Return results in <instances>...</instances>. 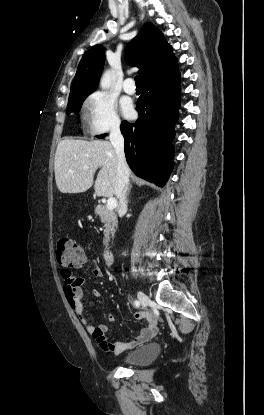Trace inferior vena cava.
<instances>
[{"label": "inferior vena cava", "mask_w": 264, "mask_h": 415, "mask_svg": "<svg viewBox=\"0 0 264 415\" xmlns=\"http://www.w3.org/2000/svg\"><path fill=\"white\" fill-rule=\"evenodd\" d=\"M110 142L115 149L117 156V174H116V185L115 194L119 199V216L127 211V189L129 184V167L127 165L124 153V139L120 131L119 124H115L110 132Z\"/></svg>", "instance_id": "inferior-vena-cava-1"}]
</instances>
